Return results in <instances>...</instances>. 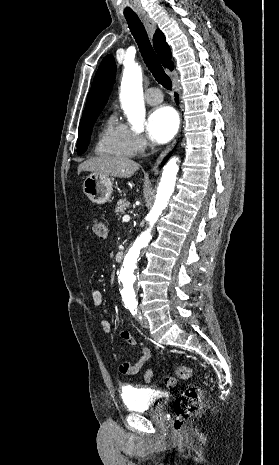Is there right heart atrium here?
<instances>
[{
	"label": "right heart atrium",
	"mask_w": 279,
	"mask_h": 465,
	"mask_svg": "<svg viewBox=\"0 0 279 465\" xmlns=\"http://www.w3.org/2000/svg\"><path fill=\"white\" fill-rule=\"evenodd\" d=\"M128 135L132 150L134 153L142 152L148 147V141L145 136L139 132H136L128 128Z\"/></svg>",
	"instance_id": "d8ad5b80"
}]
</instances>
